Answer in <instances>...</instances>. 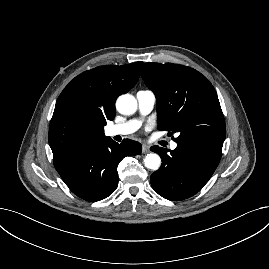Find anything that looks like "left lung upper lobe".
Masks as SVG:
<instances>
[{
  "instance_id": "5c2ea615",
  "label": "left lung upper lobe",
  "mask_w": 269,
  "mask_h": 269,
  "mask_svg": "<svg viewBox=\"0 0 269 269\" xmlns=\"http://www.w3.org/2000/svg\"><path fill=\"white\" fill-rule=\"evenodd\" d=\"M141 76L156 96L159 130L178 133L175 142H224V116L216 91L204 75L179 64L146 63Z\"/></svg>"
}]
</instances>
